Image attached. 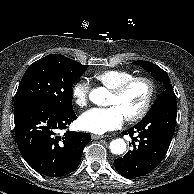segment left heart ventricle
Masks as SVG:
<instances>
[{"instance_id": "1", "label": "left heart ventricle", "mask_w": 194, "mask_h": 194, "mask_svg": "<svg viewBox=\"0 0 194 194\" xmlns=\"http://www.w3.org/2000/svg\"><path fill=\"white\" fill-rule=\"evenodd\" d=\"M148 89L143 82L132 84L121 96L110 93L109 106L117 107L124 117L137 113L145 103Z\"/></svg>"}]
</instances>
